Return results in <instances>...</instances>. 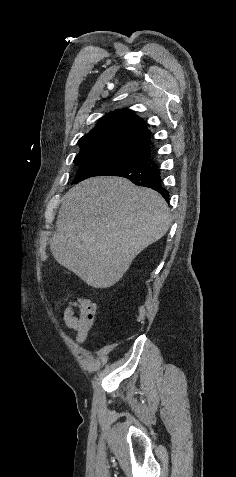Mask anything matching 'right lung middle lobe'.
<instances>
[{
    "label": "right lung middle lobe",
    "instance_id": "dd1d6c3e",
    "mask_svg": "<svg viewBox=\"0 0 236 477\" xmlns=\"http://www.w3.org/2000/svg\"><path fill=\"white\" fill-rule=\"evenodd\" d=\"M141 160L142 157L140 156L131 159V161L136 163ZM74 162L79 166L74 183H78L93 176L111 175L117 170L124 168V165L121 163L104 159L80 160Z\"/></svg>",
    "mask_w": 236,
    "mask_h": 477
}]
</instances>
